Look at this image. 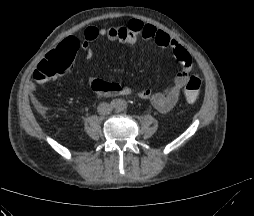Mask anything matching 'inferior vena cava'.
<instances>
[{"label": "inferior vena cava", "mask_w": 254, "mask_h": 216, "mask_svg": "<svg viewBox=\"0 0 254 216\" xmlns=\"http://www.w3.org/2000/svg\"><path fill=\"white\" fill-rule=\"evenodd\" d=\"M97 111L100 115H108L112 112V106L108 103H101L97 107Z\"/></svg>", "instance_id": "inferior-vena-cava-1"}]
</instances>
